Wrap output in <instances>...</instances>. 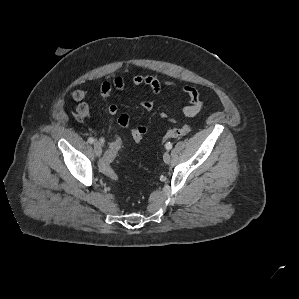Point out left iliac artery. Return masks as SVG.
I'll use <instances>...</instances> for the list:
<instances>
[{
  "label": "left iliac artery",
  "mask_w": 299,
  "mask_h": 299,
  "mask_svg": "<svg viewBox=\"0 0 299 299\" xmlns=\"http://www.w3.org/2000/svg\"><path fill=\"white\" fill-rule=\"evenodd\" d=\"M165 148L167 150H170L172 148V143H170V142L166 143Z\"/></svg>",
  "instance_id": "1"
}]
</instances>
